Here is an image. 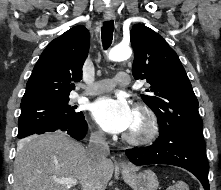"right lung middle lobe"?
<instances>
[{"label": "right lung middle lobe", "instance_id": "right-lung-middle-lobe-1", "mask_svg": "<svg viewBox=\"0 0 221 190\" xmlns=\"http://www.w3.org/2000/svg\"><path fill=\"white\" fill-rule=\"evenodd\" d=\"M69 97L45 100L21 106L18 120V138L22 139L52 128H68L80 124L84 120L82 112L70 104Z\"/></svg>", "mask_w": 221, "mask_h": 190}]
</instances>
